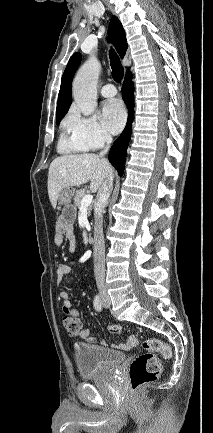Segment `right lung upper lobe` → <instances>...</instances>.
Listing matches in <instances>:
<instances>
[{
    "mask_svg": "<svg viewBox=\"0 0 213 433\" xmlns=\"http://www.w3.org/2000/svg\"><path fill=\"white\" fill-rule=\"evenodd\" d=\"M108 39L116 47L119 55L123 58L126 54L128 44L126 41L125 31L121 22L116 16L111 18L108 28ZM81 62V55L79 52L74 53L63 73L61 80V87L58 95V103L56 109V121L61 120L62 117L68 112L72 102L71 85L77 67Z\"/></svg>",
    "mask_w": 213,
    "mask_h": 433,
    "instance_id": "right-lung-upper-lobe-1",
    "label": "right lung upper lobe"
}]
</instances>
